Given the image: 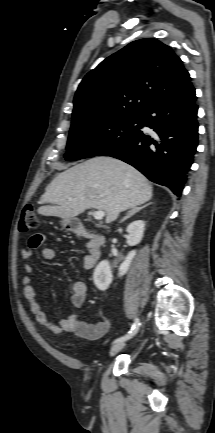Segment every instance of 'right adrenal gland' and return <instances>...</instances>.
I'll return each instance as SVG.
<instances>
[{"label": "right adrenal gland", "mask_w": 215, "mask_h": 433, "mask_svg": "<svg viewBox=\"0 0 215 433\" xmlns=\"http://www.w3.org/2000/svg\"><path fill=\"white\" fill-rule=\"evenodd\" d=\"M151 203L145 204L144 206L141 207H136L133 208L132 210H130L127 215L120 221V223H123L125 220H127L128 218H130L131 216H133L134 214H136L137 212H139L140 210H142L143 208L147 207L148 205H150Z\"/></svg>", "instance_id": "1"}]
</instances>
